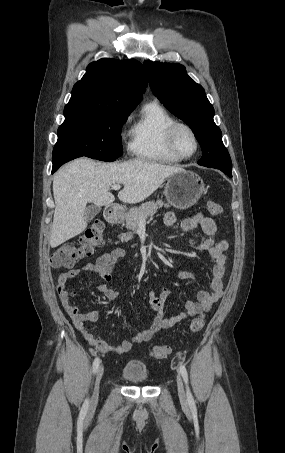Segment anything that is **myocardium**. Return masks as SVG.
Segmentation results:
<instances>
[{
  "instance_id": "1",
  "label": "myocardium",
  "mask_w": 285,
  "mask_h": 453,
  "mask_svg": "<svg viewBox=\"0 0 285 453\" xmlns=\"http://www.w3.org/2000/svg\"><path fill=\"white\" fill-rule=\"evenodd\" d=\"M180 129L187 130L191 134V136L194 140L195 149L189 155L182 154L176 146V135ZM166 144H167V147L170 150V152L172 154H174L176 157L180 158L181 160L189 159V158L193 157L199 149V139H198L197 134L195 133L194 129L190 125H188L186 123H182V122H175L168 128L167 133H166Z\"/></svg>"
}]
</instances>
